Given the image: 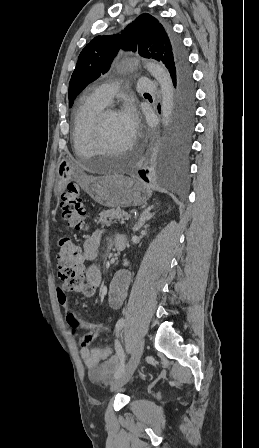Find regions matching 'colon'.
I'll return each mask as SVG.
<instances>
[{
    "label": "colon",
    "mask_w": 259,
    "mask_h": 448,
    "mask_svg": "<svg viewBox=\"0 0 259 448\" xmlns=\"http://www.w3.org/2000/svg\"><path fill=\"white\" fill-rule=\"evenodd\" d=\"M62 216L68 225L77 230L86 227V211L83 205L80 188L76 184H69L61 198ZM58 275L68 291L92 294L85 277L84 258L80 247L70 238L62 237L58 240ZM99 335L89 332L85 341L90 344Z\"/></svg>",
    "instance_id": "5ec220e1"
}]
</instances>
